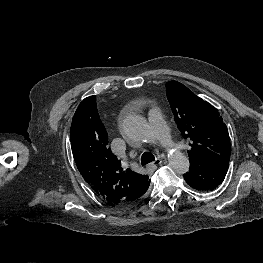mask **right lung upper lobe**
Wrapping results in <instances>:
<instances>
[{
	"mask_svg": "<svg viewBox=\"0 0 263 263\" xmlns=\"http://www.w3.org/2000/svg\"><path fill=\"white\" fill-rule=\"evenodd\" d=\"M70 139L80 174L108 205H126L149 186L147 175L130 169L123 171L120 160L110 150L95 96L85 98L78 106L72 119Z\"/></svg>",
	"mask_w": 263,
	"mask_h": 263,
	"instance_id": "1",
	"label": "right lung upper lobe"
}]
</instances>
